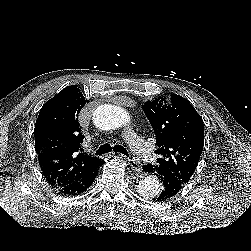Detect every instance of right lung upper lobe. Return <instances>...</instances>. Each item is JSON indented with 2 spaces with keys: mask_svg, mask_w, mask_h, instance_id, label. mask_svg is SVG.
<instances>
[{
  "mask_svg": "<svg viewBox=\"0 0 251 251\" xmlns=\"http://www.w3.org/2000/svg\"><path fill=\"white\" fill-rule=\"evenodd\" d=\"M89 102L76 85L47 101L35 124V150L46 180L56 185L79 180L95 171L102 160L81 153L78 114Z\"/></svg>",
  "mask_w": 251,
  "mask_h": 251,
  "instance_id": "1",
  "label": "right lung upper lobe"
}]
</instances>
